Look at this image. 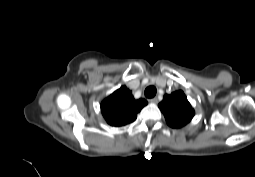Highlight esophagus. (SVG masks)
Masks as SVG:
<instances>
[{"instance_id":"34e87169","label":"esophagus","mask_w":255,"mask_h":177,"mask_svg":"<svg viewBox=\"0 0 255 177\" xmlns=\"http://www.w3.org/2000/svg\"><path fill=\"white\" fill-rule=\"evenodd\" d=\"M151 103H158V99L155 97V98H152L149 100Z\"/></svg>"}]
</instances>
